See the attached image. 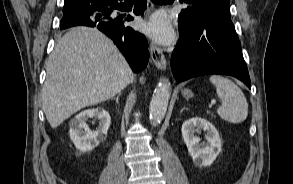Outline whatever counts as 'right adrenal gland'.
<instances>
[{
	"label": "right adrenal gland",
	"mask_w": 293,
	"mask_h": 184,
	"mask_svg": "<svg viewBox=\"0 0 293 184\" xmlns=\"http://www.w3.org/2000/svg\"><path fill=\"white\" fill-rule=\"evenodd\" d=\"M120 96H121V93H119V94L117 95V97L112 98V99H115L116 104H119V97H120Z\"/></svg>",
	"instance_id": "1"
}]
</instances>
